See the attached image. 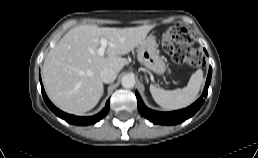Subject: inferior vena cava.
I'll use <instances>...</instances> for the list:
<instances>
[{
	"label": "inferior vena cava",
	"mask_w": 258,
	"mask_h": 158,
	"mask_svg": "<svg viewBox=\"0 0 258 158\" xmlns=\"http://www.w3.org/2000/svg\"><path fill=\"white\" fill-rule=\"evenodd\" d=\"M100 77H101L103 82L111 83L116 79L117 73L114 69L107 67V68H103L101 70Z\"/></svg>",
	"instance_id": "1"
}]
</instances>
